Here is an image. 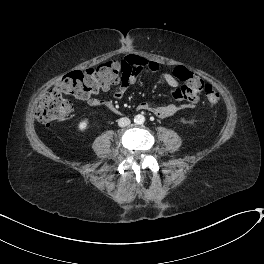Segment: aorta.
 Here are the masks:
<instances>
[{
	"label": "aorta",
	"instance_id": "obj_1",
	"mask_svg": "<svg viewBox=\"0 0 264 264\" xmlns=\"http://www.w3.org/2000/svg\"><path fill=\"white\" fill-rule=\"evenodd\" d=\"M134 122H135L136 124L141 125V124H143V123L145 122V117H144L143 115H141V114H138V115H136V116L134 117Z\"/></svg>",
	"mask_w": 264,
	"mask_h": 264
}]
</instances>
